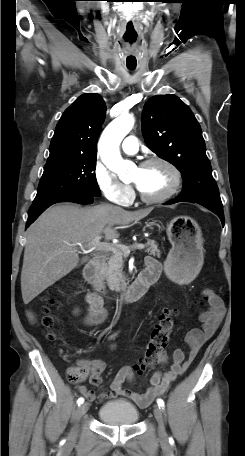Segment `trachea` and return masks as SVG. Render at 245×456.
<instances>
[{
  "instance_id": "3493384b",
  "label": "trachea",
  "mask_w": 245,
  "mask_h": 456,
  "mask_svg": "<svg viewBox=\"0 0 245 456\" xmlns=\"http://www.w3.org/2000/svg\"><path fill=\"white\" fill-rule=\"evenodd\" d=\"M128 69H129V70H134V69H135V67H128Z\"/></svg>"
}]
</instances>
